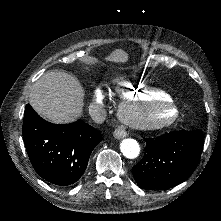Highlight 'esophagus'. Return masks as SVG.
Returning a JSON list of instances; mask_svg holds the SVG:
<instances>
[{"instance_id":"obj_1","label":"esophagus","mask_w":221,"mask_h":221,"mask_svg":"<svg viewBox=\"0 0 221 221\" xmlns=\"http://www.w3.org/2000/svg\"><path fill=\"white\" fill-rule=\"evenodd\" d=\"M114 135L117 136V137H120V138H124V137L127 136V132L123 128L116 129L114 131Z\"/></svg>"}]
</instances>
